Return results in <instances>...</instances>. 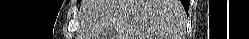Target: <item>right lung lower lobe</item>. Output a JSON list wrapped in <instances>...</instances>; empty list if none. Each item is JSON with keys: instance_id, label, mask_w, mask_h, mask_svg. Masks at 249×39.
Masks as SVG:
<instances>
[{"instance_id": "98d812e1", "label": "right lung lower lobe", "mask_w": 249, "mask_h": 39, "mask_svg": "<svg viewBox=\"0 0 249 39\" xmlns=\"http://www.w3.org/2000/svg\"><path fill=\"white\" fill-rule=\"evenodd\" d=\"M183 6L185 8V11H188L189 8V1L188 0H182Z\"/></svg>"}]
</instances>
